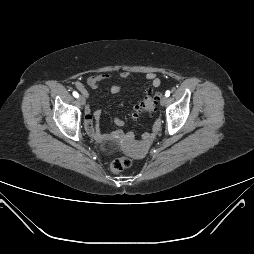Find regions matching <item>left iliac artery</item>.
<instances>
[{"label": "left iliac artery", "instance_id": "44dca946", "mask_svg": "<svg viewBox=\"0 0 254 254\" xmlns=\"http://www.w3.org/2000/svg\"><path fill=\"white\" fill-rule=\"evenodd\" d=\"M165 96H166V97H169V96H170V91H169V90H167V91L165 92Z\"/></svg>", "mask_w": 254, "mask_h": 254}]
</instances>
